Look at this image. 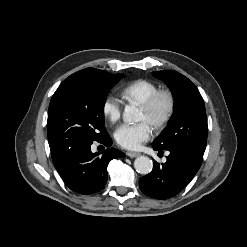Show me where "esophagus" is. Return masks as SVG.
<instances>
[{
  "instance_id": "1",
  "label": "esophagus",
  "mask_w": 247,
  "mask_h": 247,
  "mask_svg": "<svg viewBox=\"0 0 247 247\" xmlns=\"http://www.w3.org/2000/svg\"><path fill=\"white\" fill-rule=\"evenodd\" d=\"M126 155H127L128 157H130V158H135V157L139 156L140 153L128 151V152L126 153Z\"/></svg>"
}]
</instances>
